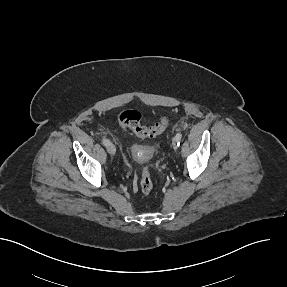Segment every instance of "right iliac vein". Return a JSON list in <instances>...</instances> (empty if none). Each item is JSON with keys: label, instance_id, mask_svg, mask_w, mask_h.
Here are the masks:
<instances>
[{"label": "right iliac vein", "instance_id": "1", "mask_svg": "<svg viewBox=\"0 0 287 287\" xmlns=\"http://www.w3.org/2000/svg\"><path fill=\"white\" fill-rule=\"evenodd\" d=\"M106 149L108 151L109 154L114 155L116 153V147L114 146V144L110 143L106 146Z\"/></svg>", "mask_w": 287, "mask_h": 287}]
</instances>
